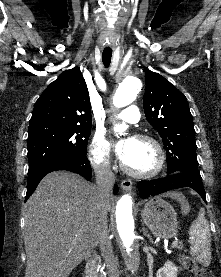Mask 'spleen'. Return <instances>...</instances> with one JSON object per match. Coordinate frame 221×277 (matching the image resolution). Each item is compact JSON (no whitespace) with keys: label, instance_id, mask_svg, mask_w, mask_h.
Masks as SVG:
<instances>
[{"label":"spleen","instance_id":"obj_1","mask_svg":"<svg viewBox=\"0 0 221 277\" xmlns=\"http://www.w3.org/2000/svg\"><path fill=\"white\" fill-rule=\"evenodd\" d=\"M191 236L190 254L203 266H208L211 262V236L207 220L204 213L200 212L190 228Z\"/></svg>","mask_w":221,"mask_h":277}]
</instances>
